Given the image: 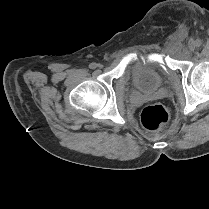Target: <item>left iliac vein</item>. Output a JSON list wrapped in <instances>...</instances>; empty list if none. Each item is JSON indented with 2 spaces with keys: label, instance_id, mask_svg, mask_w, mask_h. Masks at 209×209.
<instances>
[{
  "label": "left iliac vein",
  "instance_id": "1",
  "mask_svg": "<svg viewBox=\"0 0 209 209\" xmlns=\"http://www.w3.org/2000/svg\"><path fill=\"white\" fill-rule=\"evenodd\" d=\"M189 48H190V50H194L195 49V42L191 41L189 43Z\"/></svg>",
  "mask_w": 209,
  "mask_h": 209
}]
</instances>
